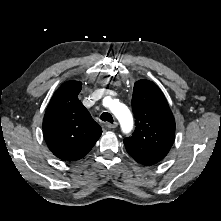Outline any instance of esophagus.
Listing matches in <instances>:
<instances>
[{"label": "esophagus", "instance_id": "obj_1", "mask_svg": "<svg viewBox=\"0 0 221 221\" xmlns=\"http://www.w3.org/2000/svg\"><path fill=\"white\" fill-rule=\"evenodd\" d=\"M117 126H118V123H117V122L106 124V127H108L109 129H114V128H116Z\"/></svg>", "mask_w": 221, "mask_h": 221}]
</instances>
